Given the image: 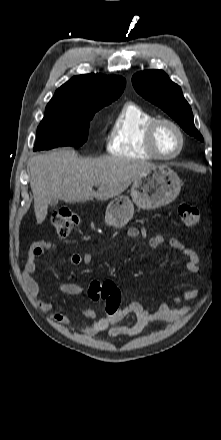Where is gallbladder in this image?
Here are the masks:
<instances>
[{
    "label": "gallbladder",
    "mask_w": 221,
    "mask_h": 440,
    "mask_svg": "<svg viewBox=\"0 0 221 440\" xmlns=\"http://www.w3.org/2000/svg\"><path fill=\"white\" fill-rule=\"evenodd\" d=\"M57 204H58V199H53V200L50 202V206H51V207H55Z\"/></svg>",
    "instance_id": "1"
}]
</instances>
